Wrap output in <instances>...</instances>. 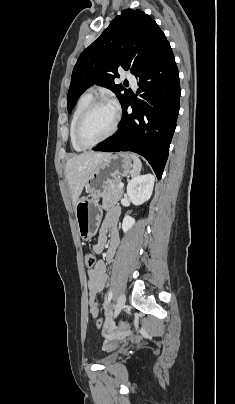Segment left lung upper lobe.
I'll return each instance as SVG.
<instances>
[{"label": "left lung upper lobe", "instance_id": "obj_1", "mask_svg": "<svg viewBox=\"0 0 235 404\" xmlns=\"http://www.w3.org/2000/svg\"><path fill=\"white\" fill-rule=\"evenodd\" d=\"M168 43L165 34L149 15L140 10H123L81 53L68 91V112L79 96L95 83L112 90L123 105L129 93L121 84L114 83V78L119 76L118 68L136 75Z\"/></svg>", "mask_w": 235, "mask_h": 404}]
</instances>
